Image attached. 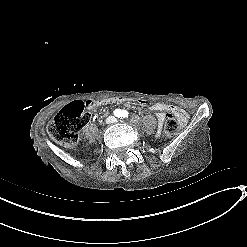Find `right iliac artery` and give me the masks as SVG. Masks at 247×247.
Returning a JSON list of instances; mask_svg holds the SVG:
<instances>
[{
	"label": "right iliac artery",
	"instance_id": "right-iliac-artery-1",
	"mask_svg": "<svg viewBox=\"0 0 247 247\" xmlns=\"http://www.w3.org/2000/svg\"><path fill=\"white\" fill-rule=\"evenodd\" d=\"M114 115L117 116V117L120 116V110H118V109L115 110V111H114Z\"/></svg>",
	"mask_w": 247,
	"mask_h": 247
}]
</instances>
